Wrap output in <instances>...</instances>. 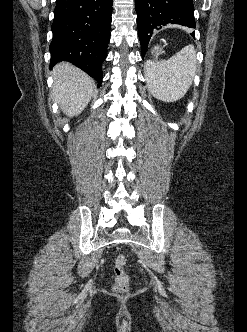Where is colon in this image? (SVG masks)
Instances as JSON below:
<instances>
[{
    "label": "colon",
    "instance_id": "1",
    "mask_svg": "<svg viewBox=\"0 0 247 332\" xmlns=\"http://www.w3.org/2000/svg\"><path fill=\"white\" fill-rule=\"evenodd\" d=\"M127 258L119 254L114 261V283L112 289L117 294H125L129 290V276L125 271Z\"/></svg>",
    "mask_w": 247,
    "mask_h": 332
}]
</instances>
